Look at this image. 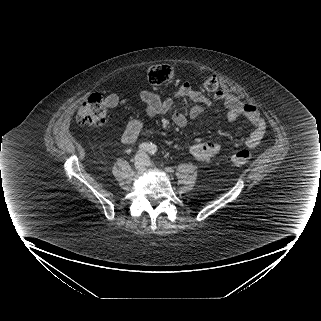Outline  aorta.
Returning <instances> with one entry per match:
<instances>
[{"label":"aorta","mask_w":321,"mask_h":321,"mask_svg":"<svg viewBox=\"0 0 321 321\" xmlns=\"http://www.w3.org/2000/svg\"><path fill=\"white\" fill-rule=\"evenodd\" d=\"M148 151H149L150 153L156 152V146H155V145H150V147L148 148Z\"/></svg>","instance_id":"1"}]
</instances>
